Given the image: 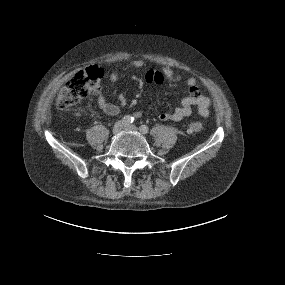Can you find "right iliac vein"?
Here are the masks:
<instances>
[{
    "label": "right iliac vein",
    "instance_id": "right-iliac-vein-1",
    "mask_svg": "<svg viewBox=\"0 0 285 285\" xmlns=\"http://www.w3.org/2000/svg\"><path fill=\"white\" fill-rule=\"evenodd\" d=\"M125 127V123L123 121H118L113 126V133L119 134Z\"/></svg>",
    "mask_w": 285,
    "mask_h": 285
}]
</instances>
